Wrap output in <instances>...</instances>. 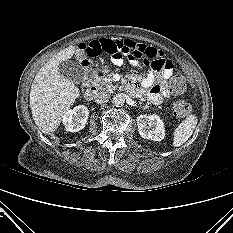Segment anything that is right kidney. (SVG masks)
<instances>
[{
    "mask_svg": "<svg viewBox=\"0 0 233 233\" xmlns=\"http://www.w3.org/2000/svg\"><path fill=\"white\" fill-rule=\"evenodd\" d=\"M89 110L83 105L76 106L74 109L69 110L63 116V124L66 131L78 132L82 130L88 119Z\"/></svg>",
    "mask_w": 233,
    "mask_h": 233,
    "instance_id": "obj_1",
    "label": "right kidney"
}]
</instances>
